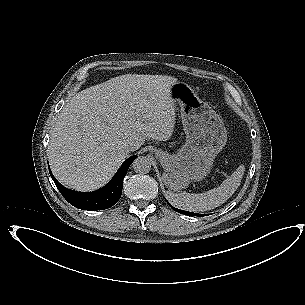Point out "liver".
Masks as SVG:
<instances>
[{"label": "liver", "instance_id": "obj_1", "mask_svg": "<svg viewBox=\"0 0 305 305\" xmlns=\"http://www.w3.org/2000/svg\"><path fill=\"white\" fill-rule=\"evenodd\" d=\"M176 78L159 76L155 90L168 92ZM153 87V86H152ZM132 76L110 79L76 93L63 107L48 146L53 174L66 187L92 191L104 186L126 159V144L168 140L175 115L149 98Z\"/></svg>", "mask_w": 305, "mask_h": 305}]
</instances>
